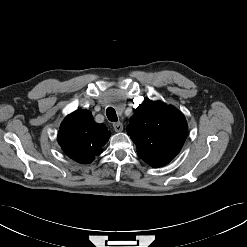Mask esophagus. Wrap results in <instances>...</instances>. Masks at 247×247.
Here are the masks:
<instances>
[{
    "label": "esophagus",
    "instance_id": "obj_1",
    "mask_svg": "<svg viewBox=\"0 0 247 247\" xmlns=\"http://www.w3.org/2000/svg\"><path fill=\"white\" fill-rule=\"evenodd\" d=\"M113 128L116 132H121L123 130V124L121 122L113 123Z\"/></svg>",
    "mask_w": 247,
    "mask_h": 247
}]
</instances>
